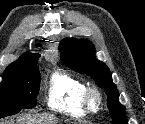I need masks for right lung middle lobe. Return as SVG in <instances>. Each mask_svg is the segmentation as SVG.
<instances>
[{"mask_svg":"<svg viewBox=\"0 0 145 124\" xmlns=\"http://www.w3.org/2000/svg\"><path fill=\"white\" fill-rule=\"evenodd\" d=\"M40 74L35 65L29 71L3 76L0 83V118L18 113L21 109H31L36 105Z\"/></svg>","mask_w":145,"mask_h":124,"instance_id":"1","label":"right lung middle lobe"}]
</instances>
